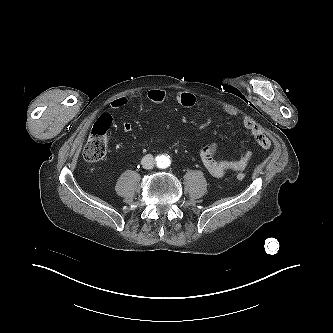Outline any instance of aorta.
<instances>
[{"label": "aorta", "instance_id": "1", "mask_svg": "<svg viewBox=\"0 0 333 333\" xmlns=\"http://www.w3.org/2000/svg\"><path fill=\"white\" fill-rule=\"evenodd\" d=\"M160 165H161L162 167H167V166L169 165V160H168L165 156H163V157L160 159Z\"/></svg>", "mask_w": 333, "mask_h": 333}]
</instances>
